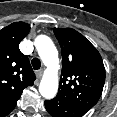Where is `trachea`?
Here are the masks:
<instances>
[{
    "label": "trachea",
    "mask_w": 117,
    "mask_h": 117,
    "mask_svg": "<svg viewBox=\"0 0 117 117\" xmlns=\"http://www.w3.org/2000/svg\"><path fill=\"white\" fill-rule=\"evenodd\" d=\"M31 63H32V66H33V68H34L35 70L40 69V67H41V62H40V60H39L38 58H33L32 61H31Z\"/></svg>",
    "instance_id": "1"
}]
</instances>
